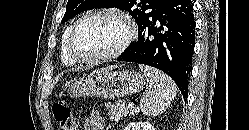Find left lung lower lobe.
<instances>
[{"instance_id":"0a47b994","label":"left lung lower lobe","mask_w":249,"mask_h":130,"mask_svg":"<svg viewBox=\"0 0 249 130\" xmlns=\"http://www.w3.org/2000/svg\"><path fill=\"white\" fill-rule=\"evenodd\" d=\"M193 12L191 0H161L138 28V41L117 60L162 70L175 81L187 100L195 42Z\"/></svg>"}]
</instances>
